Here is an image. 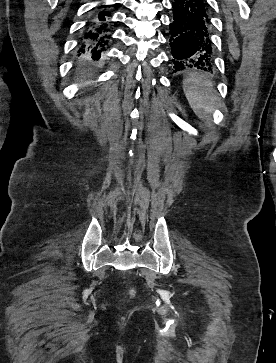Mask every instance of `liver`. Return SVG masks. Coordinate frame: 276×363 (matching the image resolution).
Segmentation results:
<instances>
[{
  "label": "liver",
  "instance_id": "1",
  "mask_svg": "<svg viewBox=\"0 0 276 363\" xmlns=\"http://www.w3.org/2000/svg\"><path fill=\"white\" fill-rule=\"evenodd\" d=\"M79 65H81V66L85 65V61H84V60H81V61L79 62ZM87 71H89V70L83 69V70H81V71H80V73H81L82 75H86V74H87Z\"/></svg>",
  "mask_w": 276,
  "mask_h": 363
}]
</instances>
